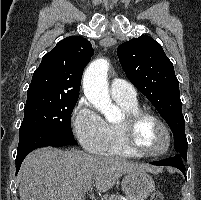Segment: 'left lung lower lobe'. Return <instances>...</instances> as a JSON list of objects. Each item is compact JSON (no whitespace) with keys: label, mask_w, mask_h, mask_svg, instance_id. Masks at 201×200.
Masks as SVG:
<instances>
[{"label":"left lung lower lobe","mask_w":201,"mask_h":200,"mask_svg":"<svg viewBox=\"0 0 201 200\" xmlns=\"http://www.w3.org/2000/svg\"><path fill=\"white\" fill-rule=\"evenodd\" d=\"M187 159V156L183 157L181 154H177L174 157L167 158L161 161L150 162L153 165L157 166H173L178 168L185 175V165L183 163L184 160ZM186 178V175H185Z\"/></svg>","instance_id":"0a47b994"}]
</instances>
